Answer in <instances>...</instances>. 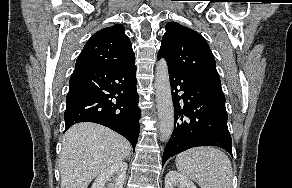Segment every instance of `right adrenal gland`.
I'll list each match as a JSON object with an SVG mask.
<instances>
[{"instance_id": "obj_1", "label": "right adrenal gland", "mask_w": 292, "mask_h": 188, "mask_svg": "<svg viewBox=\"0 0 292 188\" xmlns=\"http://www.w3.org/2000/svg\"><path fill=\"white\" fill-rule=\"evenodd\" d=\"M128 160H130V156H128V158H127Z\"/></svg>"}]
</instances>
